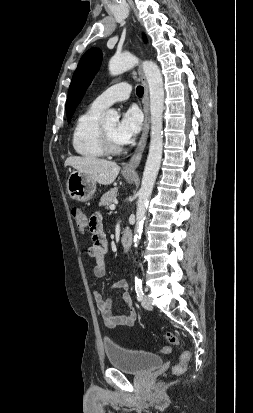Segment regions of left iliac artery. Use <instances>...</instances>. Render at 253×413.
<instances>
[{
  "label": "left iliac artery",
  "mask_w": 253,
  "mask_h": 413,
  "mask_svg": "<svg viewBox=\"0 0 253 413\" xmlns=\"http://www.w3.org/2000/svg\"><path fill=\"white\" fill-rule=\"evenodd\" d=\"M135 291L137 294L138 301H141L143 299L144 292L142 289V281L138 278H135Z\"/></svg>",
  "instance_id": "1"
}]
</instances>
